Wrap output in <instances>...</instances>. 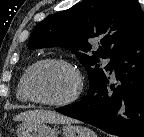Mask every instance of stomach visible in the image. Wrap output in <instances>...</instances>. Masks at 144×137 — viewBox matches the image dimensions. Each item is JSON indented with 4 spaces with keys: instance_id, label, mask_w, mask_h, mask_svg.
<instances>
[{
    "instance_id": "0dacf381",
    "label": "stomach",
    "mask_w": 144,
    "mask_h": 137,
    "mask_svg": "<svg viewBox=\"0 0 144 137\" xmlns=\"http://www.w3.org/2000/svg\"><path fill=\"white\" fill-rule=\"evenodd\" d=\"M61 133V132H60ZM58 129L46 123H22L16 129L17 137H57ZM63 137H96L87 127L67 123L62 128Z\"/></svg>"
}]
</instances>
